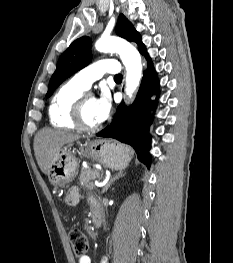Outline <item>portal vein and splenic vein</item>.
<instances>
[{
    "mask_svg": "<svg viewBox=\"0 0 233 263\" xmlns=\"http://www.w3.org/2000/svg\"><path fill=\"white\" fill-rule=\"evenodd\" d=\"M95 185H98V183H97V182H95Z\"/></svg>",
    "mask_w": 233,
    "mask_h": 263,
    "instance_id": "portal-vein-and-splenic-vein-1",
    "label": "portal vein and splenic vein"
}]
</instances>
